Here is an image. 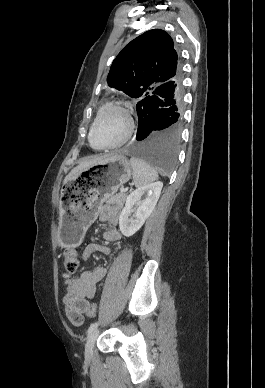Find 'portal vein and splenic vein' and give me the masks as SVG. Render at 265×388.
<instances>
[{
  "label": "portal vein and splenic vein",
  "mask_w": 265,
  "mask_h": 388,
  "mask_svg": "<svg viewBox=\"0 0 265 388\" xmlns=\"http://www.w3.org/2000/svg\"><path fill=\"white\" fill-rule=\"evenodd\" d=\"M122 192H125L124 188H123Z\"/></svg>",
  "instance_id": "18ae733b"
}]
</instances>
